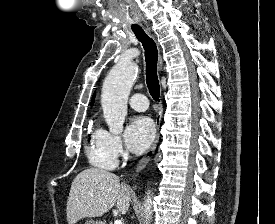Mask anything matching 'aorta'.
<instances>
[{"mask_svg": "<svg viewBox=\"0 0 275 224\" xmlns=\"http://www.w3.org/2000/svg\"><path fill=\"white\" fill-rule=\"evenodd\" d=\"M138 74V66L132 61L118 62L105 78L101 104L109 131L119 134L127 114V100ZM144 224L152 218V196L148 190L144 199Z\"/></svg>", "mask_w": 275, "mask_h": 224, "instance_id": "762f6f07", "label": "aorta"}]
</instances>
